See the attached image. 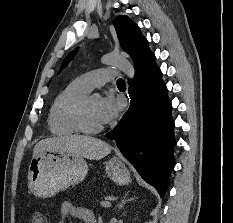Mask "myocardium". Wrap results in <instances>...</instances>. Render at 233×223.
Returning a JSON list of instances; mask_svg holds the SVG:
<instances>
[{
    "label": "myocardium",
    "instance_id": "myocardium-1",
    "mask_svg": "<svg viewBox=\"0 0 233 223\" xmlns=\"http://www.w3.org/2000/svg\"><path fill=\"white\" fill-rule=\"evenodd\" d=\"M92 96L85 97L76 107L73 114V122L79 133L86 135H95L100 133L104 126L90 127L86 121L87 105Z\"/></svg>",
    "mask_w": 233,
    "mask_h": 223
}]
</instances>
